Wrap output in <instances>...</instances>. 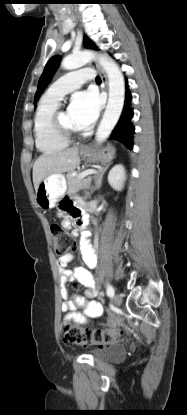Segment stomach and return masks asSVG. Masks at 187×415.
<instances>
[{
    "label": "stomach",
    "mask_w": 187,
    "mask_h": 415,
    "mask_svg": "<svg viewBox=\"0 0 187 415\" xmlns=\"http://www.w3.org/2000/svg\"><path fill=\"white\" fill-rule=\"evenodd\" d=\"M83 157H93L102 164L110 162L115 156V148L108 144L98 151L94 156L89 150H82ZM67 188L65 176L61 173L51 174L44 178L36 191V202L38 207L44 211L54 208L58 201L65 195Z\"/></svg>",
    "instance_id": "1"
}]
</instances>
